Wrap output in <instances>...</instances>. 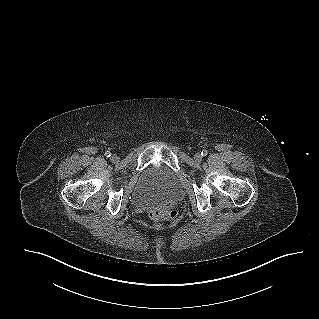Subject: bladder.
I'll return each mask as SVG.
<instances>
[{"label": "bladder", "mask_w": 319, "mask_h": 319, "mask_svg": "<svg viewBox=\"0 0 319 319\" xmlns=\"http://www.w3.org/2000/svg\"><path fill=\"white\" fill-rule=\"evenodd\" d=\"M182 187L177 175L163 165H154L144 171L134 188V204L156 207L179 198Z\"/></svg>", "instance_id": "bladder-1"}]
</instances>
